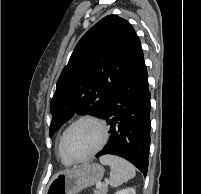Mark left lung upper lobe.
<instances>
[{
    "instance_id": "1",
    "label": "left lung upper lobe",
    "mask_w": 201,
    "mask_h": 194,
    "mask_svg": "<svg viewBox=\"0 0 201 194\" xmlns=\"http://www.w3.org/2000/svg\"><path fill=\"white\" fill-rule=\"evenodd\" d=\"M141 49L127 20L109 15L95 24L78 42L57 81L50 137L75 113L101 116Z\"/></svg>"
}]
</instances>
